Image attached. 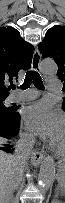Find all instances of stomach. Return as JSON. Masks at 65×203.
Wrapping results in <instances>:
<instances>
[{
  "label": "stomach",
  "mask_w": 65,
  "mask_h": 203,
  "mask_svg": "<svg viewBox=\"0 0 65 203\" xmlns=\"http://www.w3.org/2000/svg\"><path fill=\"white\" fill-rule=\"evenodd\" d=\"M59 183L61 184L62 189H64V184H65V171L64 170L59 175Z\"/></svg>",
  "instance_id": "0dacf381"
}]
</instances>
